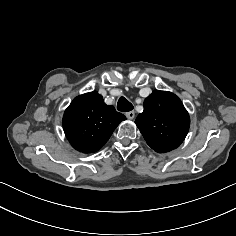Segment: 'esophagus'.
<instances>
[{"instance_id":"obj_1","label":"esophagus","mask_w":236,"mask_h":236,"mask_svg":"<svg viewBox=\"0 0 236 236\" xmlns=\"http://www.w3.org/2000/svg\"><path fill=\"white\" fill-rule=\"evenodd\" d=\"M126 117L130 120H132L135 117V112L134 111H130L125 113Z\"/></svg>"}]
</instances>
